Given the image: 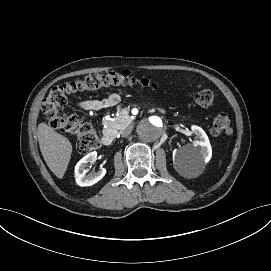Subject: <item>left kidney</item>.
<instances>
[{
  "mask_svg": "<svg viewBox=\"0 0 271 271\" xmlns=\"http://www.w3.org/2000/svg\"><path fill=\"white\" fill-rule=\"evenodd\" d=\"M193 133L199 136L198 149L187 151L184 148L175 149L173 163L177 172L184 175H193L198 166L208 162L212 157V147L206 132L197 125H191Z\"/></svg>",
  "mask_w": 271,
  "mask_h": 271,
  "instance_id": "left-kidney-1",
  "label": "left kidney"
}]
</instances>
